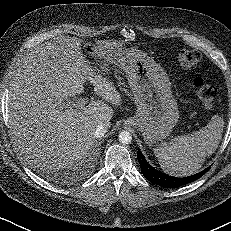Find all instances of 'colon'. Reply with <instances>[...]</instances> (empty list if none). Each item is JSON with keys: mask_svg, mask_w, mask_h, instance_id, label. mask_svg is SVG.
<instances>
[{"mask_svg": "<svg viewBox=\"0 0 231 231\" xmlns=\"http://www.w3.org/2000/svg\"><path fill=\"white\" fill-rule=\"evenodd\" d=\"M200 61V54L196 51H182L177 56V63L184 71L194 69ZM193 88L200 102L206 107L211 108L216 99V89L214 85L201 77L193 80Z\"/></svg>", "mask_w": 231, "mask_h": 231, "instance_id": "obj_1", "label": "colon"}]
</instances>
